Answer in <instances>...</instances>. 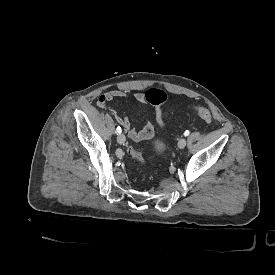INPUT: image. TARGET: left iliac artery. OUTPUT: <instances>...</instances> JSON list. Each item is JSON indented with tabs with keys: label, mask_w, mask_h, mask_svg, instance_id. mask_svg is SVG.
Here are the masks:
<instances>
[{
	"label": "left iliac artery",
	"mask_w": 275,
	"mask_h": 275,
	"mask_svg": "<svg viewBox=\"0 0 275 275\" xmlns=\"http://www.w3.org/2000/svg\"><path fill=\"white\" fill-rule=\"evenodd\" d=\"M190 134V132L188 131V130H186L185 132H184V136H188Z\"/></svg>",
	"instance_id": "1"
}]
</instances>
